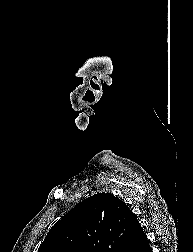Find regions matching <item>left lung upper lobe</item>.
<instances>
[{
  "label": "left lung upper lobe",
  "mask_w": 193,
  "mask_h": 252,
  "mask_svg": "<svg viewBox=\"0 0 193 252\" xmlns=\"http://www.w3.org/2000/svg\"><path fill=\"white\" fill-rule=\"evenodd\" d=\"M138 224L123 201L98 193L57 222L38 252H123Z\"/></svg>",
  "instance_id": "1"
}]
</instances>
